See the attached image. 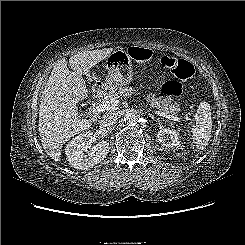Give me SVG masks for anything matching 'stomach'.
Listing matches in <instances>:
<instances>
[{
  "mask_svg": "<svg viewBox=\"0 0 245 245\" xmlns=\"http://www.w3.org/2000/svg\"><path fill=\"white\" fill-rule=\"evenodd\" d=\"M105 67L108 75L105 80V87L110 91L117 89L119 86L129 84L133 79V70L128 53L124 50L112 52L106 60ZM87 76L90 77L89 72ZM171 109H175L172 105Z\"/></svg>",
  "mask_w": 245,
  "mask_h": 245,
  "instance_id": "stomach-1",
  "label": "stomach"
}]
</instances>
